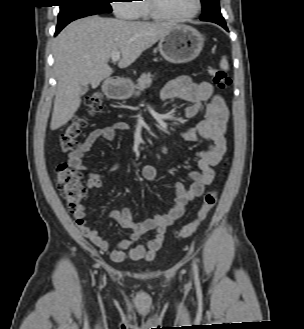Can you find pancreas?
<instances>
[{
  "label": "pancreas",
  "mask_w": 304,
  "mask_h": 329,
  "mask_svg": "<svg viewBox=\"0 0 304 329\" xmlns=\"http://www.w3.org/2000/svg\"><path fill=\"white\" fill-rule=\"evenodd\" d=\"M153 75L151 73H143L140 78L137 80L136 93L135 96H139L140 92L144 89L150 87L152 83Z\"/></svg>",
  "instance_id": "obj_1"
}]
</instances>
